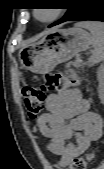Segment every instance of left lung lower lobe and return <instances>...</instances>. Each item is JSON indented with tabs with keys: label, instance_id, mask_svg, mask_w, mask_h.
Returning <instances> with one entry per match:
<instances>
[{
	"label": "left lung lower lobe",
	"instance_id": "obj_1",
	"mask_svg": "<svg viewBox=\"0 0 104 169\" xmlns=\"http://www.w3.org/2000/svg\"><path fill=\"white\" fill-rule=\"evenodd\" d=\"M84 20L104 22V2L101 0H79L76 10L70 16L62 20L60 23L66 21ZM51 26L54 25H50V27Z\"/></svg>",
	"mask_w": 104,
	"mask_h": 169
}]
</instances>
